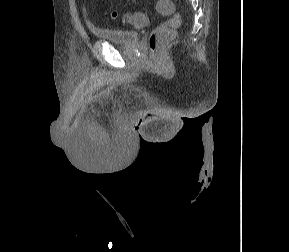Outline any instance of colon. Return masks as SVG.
Masks as SVG:
<instances>
[{
	"instance_id": "colon-1",
	"label": "colon",
	"mask_w": 289,
	"mask_h": 252,
	"mask_svg": "<svg viewBox=\"0 0 289 252\" xmlns=\"http://www.w3.org/2000/svg\"><path fill=\"white\" fill-rule=\"evenodd\" d=\"M157 11L165 16H170V19L164 24L156 27L149 37V50L152 58H155L160 50L172 40L175 34V29L181 24L180 17L175 14L174 5L171 0H158L156 4ZM112 16L116 18V13ZM147 19V16L140 13H128L121 18L124 25L139 27L142 26Z\"/></svg>"
}]
</instances>
